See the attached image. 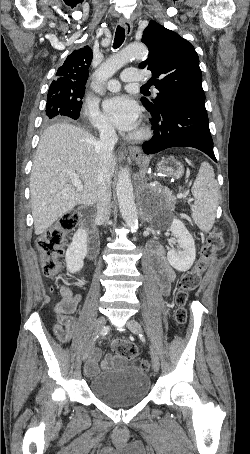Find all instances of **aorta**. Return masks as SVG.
Wrapping results in <instances>:
<instances>
[{
	"label": "aorta",
	"instance_id": "obj_1",
	"mask_svg": "<svg viewBox=\"0 0 250 454\" xmlns=\"http://www.w3.org/2000/svg\"><path fill=\"white\" fill-rule=\"evenodd\" d=\"M148 55L147 47L143 43H130L121 51L102 63L94 73L96 84L95 92L103 91V84L113 77L129 60L145 58ZM120 213L129 229L134 232L138 229V213L134 200V192L130 171L127 167L121 168L116 186Z\"/></svg>",
	"mask_w": 250,
	"mask_h": 454
}]
</instances>
